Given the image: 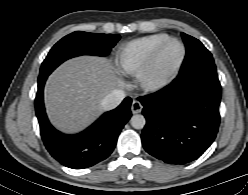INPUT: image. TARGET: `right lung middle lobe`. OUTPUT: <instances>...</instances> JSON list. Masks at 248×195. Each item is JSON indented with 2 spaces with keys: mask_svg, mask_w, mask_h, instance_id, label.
<instances>
[{
  "mask_svg": "<svg viewBox=\"0 0 248 195\" xmlns=\"http://www.w3.org/2000/svg\"><path fill=\"white\" fill-rule=\"evenodd\" d=\"M120 35L73 32L58 41L43 61L39 79L48 76L61 63L80 55L106 56Z\"/></svg>",
  "mask_w": 248,
  "mask_h": 195,
  "instance_id": "dd1d6c3e",
  "label": "right lung middle lobe"
}]
</instances>
